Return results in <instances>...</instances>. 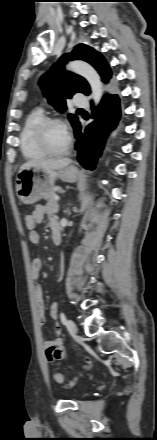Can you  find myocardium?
<instances>
[{
	"mask_svg": "<svg viewBox=\"0 0 157 440\" xmlns=\"http://www.w3.org/2000/svg\"><path fill=\"white\" fill-rule=\"evenodd\" d=\"M53 124H58L61 126L63 125V122L60 119L57 118H44L41 120L35 127L33 132V139L35 144L46 154L50 156H63L68 154L72 149V139L69 136V142L68 145L59 151L52 150L46 141V129Z\"/></svg>",
	"mask_w": 157,
	"mask_h": 440,
	"instance_id": "1",
	"label": "myocardium"
}]
</instances>
